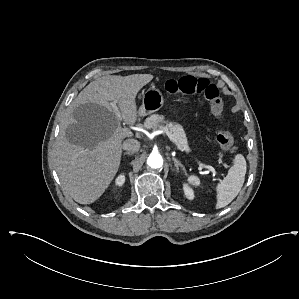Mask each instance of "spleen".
Wrapping results in <instances>:
<instances>
[{
	"mask_svg": "<svg viewBox=\"0 0 299 299\" xmlns=\"http://www.w3.org/2000/svg\"><path fill=\"white\" fill-rule=\"evenodd\" d=\"M246 174V161L243 155L237 154L233 159L227 176L217 186L216 209L223 208L233 201L240 192ZM188 182L194 186L200 185V179L195 175L188 177Z\"/></svg>",
	"mask_w": 299,
	"mask_h": 299,
	"instance_id": "obj_1",
	"label": "spleen"
}]
</instances>
